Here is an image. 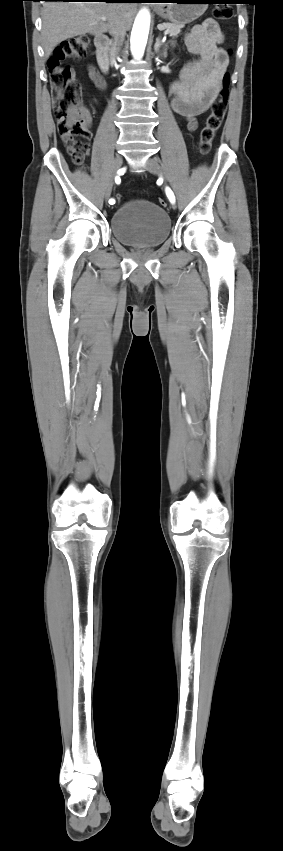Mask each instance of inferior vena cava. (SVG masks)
Here are the masks:
<instances>
[{
    "mask_svg": "<svg viewBox=\"0 0 283 851\" xmlns=\"http://www.w3.org/2000/svg\"><path fill=\"white\" fill-rule=\"evenodd\" d=\"M112 34H113L114 39H113V43H112V46H111L110 58H111L112 62H115V59L118 56V53H119L121 46L123 44V41H124V38H125V35H126V30L123 27H115L112 30Z\"/></svg>",
    "mask_w": 283,
    "mask_h": 851,
    "instance_id": "1",
    "label": "inferior vena cava"
}]
</instances>
